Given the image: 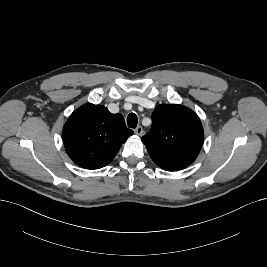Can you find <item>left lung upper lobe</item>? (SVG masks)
Listing matches in <instances>:
<instances>
[{"label":"left lung upper lobe","mask_w":267,"mask_h":267,"mask_svg":"<svg viewBox=\"0 0 267 267\" xmlns=\"http://www.w3.org/2000/svg\"><path fill=\"white\" fill-rule=\"evenodd\" d=\"M152 160L167 171L181 170L197 158L204 141L201 121L191 109L178 104L156 106L152 128L142 137Z\"/></svg>","instance_id":"left-lung-upper-lobe-1"}]
</instances>
